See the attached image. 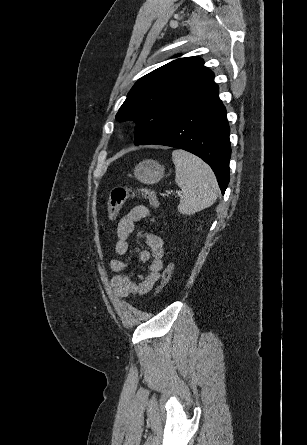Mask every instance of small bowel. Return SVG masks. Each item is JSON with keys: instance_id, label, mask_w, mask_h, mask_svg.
Listing matches in <instances>:
<instances>
[{"instance_id": "1", "label": "small bowel", "mask_w": 307, "mask_h": 445, "mask_svg": "<svg viewBox=\"0 0 307 445\" xmlns=\"http://www.w3.org/2000/svg\"><path fill=\"white\" fill-rule=\"evenodd\" d=\"M149 209L144 205L135 206L128 214L124 215L116 229L115 253L119 256L127 254L133 246L128 238L134 231L135 222L150 217ZM148 246V251L135 248L139 258L147 261V271L141 275L139 282L134 281L126 272L128 263L122 259H112L109 262V268L116 273L112 278V283L117 296L127 298L136 295H143L149 292L160 278V271L163 267L164 243L163 239L153 233H140Z\"/></svg>"}]
</instances>
